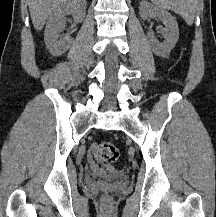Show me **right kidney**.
<instances>
[{
    "mask_svg": "<svg viewBox=\"0 0 216 217\" xmlns=\"http://www.w3.org/2000/svg\"><path fill=\"white\" fill-rule=\"evenodd\" d=\"M69 14L73 16L75 23L82 22L86 14L85 0H67L50 14L45 27L44 41L47 49L54 56L65 53L72 43V38L68 33L59 35L65 29V15Z\"/></svg>",
    "mask_w": 216,
    "mask_h": 217,
    "instance_id": "obj_1",
    "label": "right kidney"
}]
</instances>
